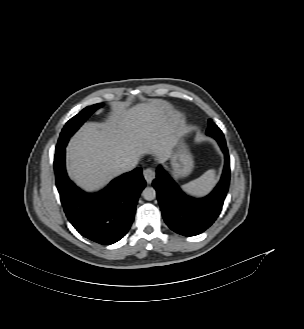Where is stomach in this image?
I'll return each mask as SVG.
<instances>
[{
  "label": "stomach",
  "instance_id": "1",
  "mask_svg": "<svg viewBox=\"0 0 304 329\" xmlns=\"http://www.w3.org/2000/svg\"><path fill=\"white\" fill-rule=\"evenodd\" d=\"M173 174L177 178L187 176L193 169V160L184 146L173 154L171 158Z\"/></svg>",
  "mask_w": 304,
  "mask_h": 329
}]
</instances>
